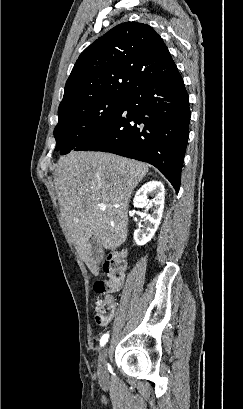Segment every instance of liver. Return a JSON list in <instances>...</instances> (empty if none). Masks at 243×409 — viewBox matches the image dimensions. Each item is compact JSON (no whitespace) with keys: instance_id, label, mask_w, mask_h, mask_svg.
Returning a JSON list of instances; mask_svg holds the SVG:
<instances>
[{"instance_id":"liver-1","label":"liver","mask_w":243,"mask_h":409,"mask_svg":"<svg viewBox=\"0 0 243 409\" xmlns=\"http://www.w3.org/2000/svg\"><path fill=\"white\" fill-rule=\"evenodd\" d=\"M148 172V165L103 152H72L62 156L54 184L62 218L82 260L95 275L99 266L90 240L105 249L120 247L127 238L129 199ZM106 205V210L100 209Z\"/></svg>"}]
</instances>
